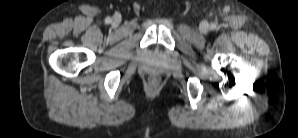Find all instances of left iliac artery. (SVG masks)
Masks as SVG:
<instances>
[{
    "label": "left iliac artery",
    "mask_w": 298,
    "mask_h": 138,
    "mask_svg": "<svg viewBox=\"0 0 298 138\" xmlns=\"http://www.w3.org/2000/svg\"><path fill=\"white\" fill-rule=\"evenodd\" d=\"M216 28L215 24H211V29L214 30Z\"/></svg>",
    "instance_id": "1"
}]
</instances>
